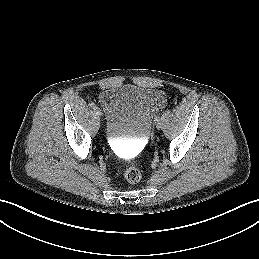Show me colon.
<instances>
[{
    "instance_id": "1",
    "label": "colon",
    "mask_w": 259,
    "mask_h": 259,
    "mask_svg": "<svg viewBox=\"0 0 259 259\" xmlns=\"http://www.w3.org/2000/svg\"><path fill=\"white\" fill-rule=\"evenodd\" d=\"M160 100H162V98ZM124 176L126 181L130 184H137L141 180V172L136 167H129L125 171Z\"/></svg>"
}]
</instances>
